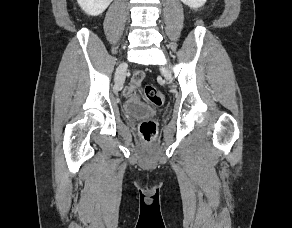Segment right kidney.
I'll return each mask as SVG.
<instances>
[{
  "instance_id": "obj_1",
  "label": "right kidney",
  "mask_w": 292,
  "mask_h": 228,
  "mask_svg": "<svg viewBox=\"0 0 292 228\" xmlns=\"http://www.w3.org/2000/svg\"><path fill=\"white\" fill-rule=\"evenodd\" d=\"M77 2L86 14L98 16L107 9L112 0H77Z\"/></svg>"
}]
</instances>
